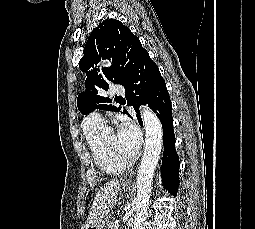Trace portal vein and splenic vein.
I'll use <instances>...</instances> for the list:
<instances>
[{"mask_svg": "<svg viewBox=\"0 0 255 229\" xmlns=\"http://www.w3.org/2000/svg\"><path fill=\"white\" fill-rule=\"evenodd\" d=\"M119 228V224H115V229H118Z\"/></svg>", "mask_w": 255, "mask_h": 229, "instance_id": "obj_1", "label": "portal vein and splenic vein"}]
</instances>
